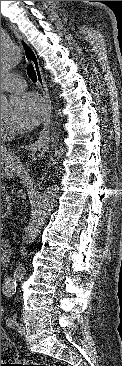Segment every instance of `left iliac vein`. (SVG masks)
Masks as SVG:
<instances>
[{
  "mask_svg": "<svg viewBox=\"0 0 122 366\" xmlns=\"http://www.w3.org/2000/svg\"><path fill=\"white\" fill-rule=\"evenodd\" d=\"M16 327H17V331L23 335L25 333V326L22 322H19L16 324Z\"/></svg>",
  "mask_w": 122,
  "mask_h": 366,
  "instance_id": "4c4485c4",
  "label": "left iliac vein"
}]
</instances>
